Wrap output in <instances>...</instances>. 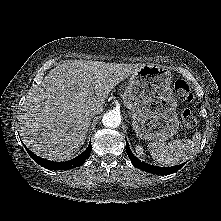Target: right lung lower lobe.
Instances as JSON below:
<instances>
[{
    "mask_svg": "<svg viewBox=\"0 0 221 221\" xmlns=\"http://www.w3.org/2000/svg\"><path fill=\"white\" fill-rule=\"evenodd\" d=\"M28 154L41 166L47 168V169H51V170H67V169H71L74 167H78L81 166L82 164L85 163V160L89 157L91 150H92V146L91 143L89 144V146L87 147V149L80 155H78L77 157H75L74 159L70 160V161H66V162H53L50 160H46L43 159L39 156H36L34 153H32L30 150H28V148H26Z\"/></svg>",
    "mask_w": 221,
    "mask_h": 221,
    "instance_id": "right-lung-lower-lobe-1",
    "label": "right lung lower lobe"
}]
</instances>
